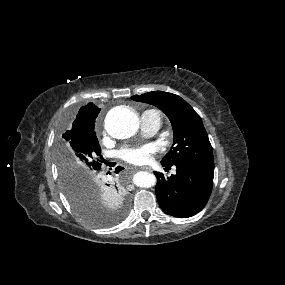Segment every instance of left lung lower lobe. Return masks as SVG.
<instances>
[{
	"label": "left lung lower lobe",
	"instance_id": "1",
	"mask_svg": "<svg viewBox=\"0 0 285 285\" xmlns=\"http://www.w3.org/2000/svg\"><path fill=\"white\" fill-rule=\"evenodd\" d=\"M175 166L177 173L167 179L162 173L155 172L156 196L165 213L188 218L200 212L211 195L214 163H187Z\"/></svg>",
	"mask_w": 285,
	"mask_h": 285
}]
</instances>
